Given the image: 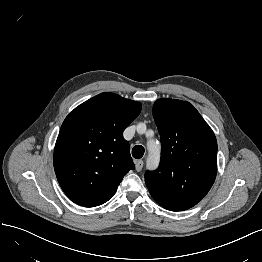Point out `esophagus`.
Masks as SVG:
<instances>
[{
	"instance_id": "1",
	"label": "esophagus",
	"mask_w": 262,
	"mask_h": 262,
	"mask_svg": "<svg viewBox=\"0 0 262 262\" xmlns=\"http://www.w3.org/2000/svg\"><path fill=\"white\" fill-rule=\"evenodd\" d=\"M143 165H144L143 160H138V161H136V163H135V168H136V170H137L138 172H140V171L142 170V168H143Z\"/></svg>"
}]
</instances>
